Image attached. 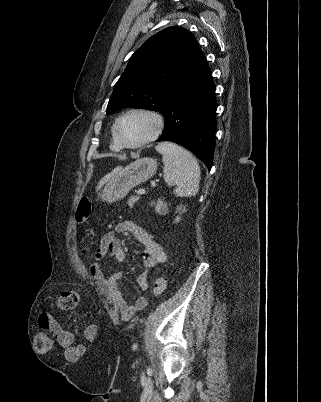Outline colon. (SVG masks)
Here are the masks:
<instances>
[{"label": "colon", "instance_id": "obj_1", "mask_svg": "<svg viewBox=\"0 0 321 402\" xmlns=\"http://www.w3.org/2000/svg\"><path fill=\"white\" fill-rule=\"evenodd\" d=\"M92 210V202L88 198H82L77 206L75 213V220L78 225L84 224L90 217ZM81 255L90 258L92 256V249L90 246H85L80 251ZM166 289V279L158 277L153 284V292L156 295L162 294ZM79 303V294L76 290H65L58 298V307L62 311H70L77 307ZM36 350L47 352L52 348V338L44 331H40L35 335Z\"/></svg>", "mask_w": 321, "mask_h": 402}]
</instances>
